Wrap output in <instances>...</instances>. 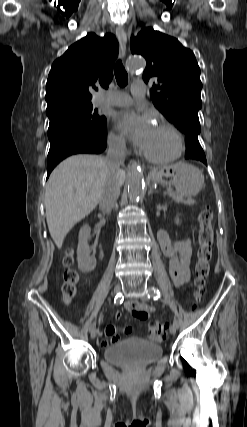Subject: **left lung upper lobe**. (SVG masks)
I'll return each mask as SVG.
<instances>
[{
  "label": "left lung upper lobe",
  "mask_w": 247,
  "mask_h": 427,
  "mask_svg": "<svg viewBox=\"0 0 247 427\" xmlns=\"http://www.w3.org/2000/svg\"><path fill=\"white\" fill-rule=\"evenodd\" d=\"M131 52L146 59L144 81H157L150 92L156 108L181 132L198 137L202 83L193 52L153 28H144L132 37Z\"/></svg>",
  "instance_id": "1"
}]
</instances>
